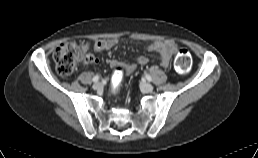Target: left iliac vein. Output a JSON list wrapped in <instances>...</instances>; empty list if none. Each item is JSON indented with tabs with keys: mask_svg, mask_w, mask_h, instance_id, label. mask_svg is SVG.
Returning <instances> with one entry per match:
<instances>
[{
	"mask_svg": "<svg viewBox=\"0 0 258 158\" xmlns=\"http://www.w3.org/2000/svg\"><path fill=\"white\" fill-rule=\"evenodd\" d=\"M141 89L144 91V92H147V93H150L153 91V86L149 83H146V82H143L141 83Z\"/></svg>",
	"mask_w": 258,
	"mask_h": 158,
	"instance_id": "left-iliac-vein-1",
	"label": "left iliac vein"
}]
</instances>
